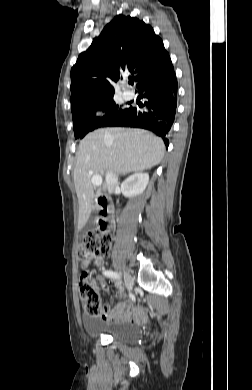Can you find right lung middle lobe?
Listing matches in <instances>:
<instances>
[{"label": "right lung middle lobe", "instance_id": "1", "mask_svg": "<svg viewBox=\"0 0 252 390\" xmlns=\"http://www.w3.org/2000/svg\"><path fill=\"white\" fill-rule=\"evenodd\" d=\"M97 110H102L107 115L102 118L96 117L95 112ZM126 111V108L114 102L113 95L72 109L75 139H82L88 132L96 128L106 127Z\"/></svg>", "mask_w": 252, "mask_h": 390}]
</instances>
